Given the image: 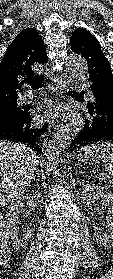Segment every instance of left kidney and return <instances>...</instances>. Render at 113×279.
<instances>
[{"mask_svg": "<svg viewBox=\"0 0 113 279\" xmlns=\"http://www.w3.org/2000/svg\"><path fill=\"white\" fill-rule=\"evenodd\" d=\"M95 198L99 199L107 210V222L104 233L97 226L93 227L94 236L100 245L108 248L113 246V194L103 186H97L95 184L84 185L81 194L82 204L85 207H91Z\"/></svg>", "mask_w": 113, "mask_h": 279, "instance_id": "5707ae66", "label": "left kidney"}]
</instances>
